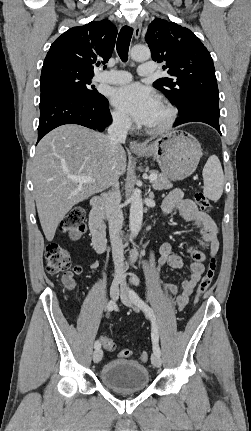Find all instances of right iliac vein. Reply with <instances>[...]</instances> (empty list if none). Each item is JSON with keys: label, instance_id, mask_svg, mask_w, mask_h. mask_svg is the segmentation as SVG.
<instances>
[{"label": "right iliac vein", "instance_id": "1", "mask_svg": "<svg viewBox=\"0 0 251 431\" xmlns=\"http://www.w3.org/2000/svg\"><path fill=\"white\" fill-rule=\"evenodd\" d=\"M119 295V285L117 283H113L110 288V296L113 300H117ZM103 357V351L99 348L96 349L93 353V360L95 363H98L101 361Z\"/></svg>", "mask_w": 251, "mask_h": 431}]
</instances>
